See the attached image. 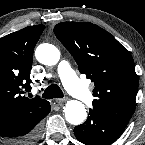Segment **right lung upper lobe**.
<instances>
[{"mask_svg": "<svg viewBox=\"0 0 145 145\" xmlns=\"http://www.w3.org/2000/svg\"><path fill=\"white\" fill-rule=\"evenodd\" d=\"M44 25L28 26L0 39V124L19 120L46 101L22 96L30 89L33 50Z\"/></svg>", "mask_w": 145, "mask_h": 145, "instance_id": "1", "label": "right lung upper lobe"}]
</instances>
